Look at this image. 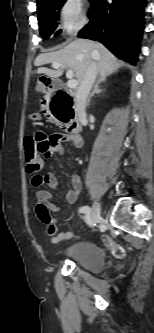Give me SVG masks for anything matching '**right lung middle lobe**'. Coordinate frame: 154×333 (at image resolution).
<instances>
[{"label":"right lung middle lobe","mask_w":154,"mask_h":333,"mask_svg":"<svg viewBox=\"0 0 154 333\" xmlns=\"http://www.w3.org/2000/svg\"><path fill=\"white\" fill-rule=\"evenodd\" d=\"M66 0H41L37 2V14L39 21L40 35L47 39L56 29V20L59 18V12ZM95 0H90L94 3ZM61 30L55 33L58 35Z\"/></svg>","instance_id":"1"}]
</instances>
